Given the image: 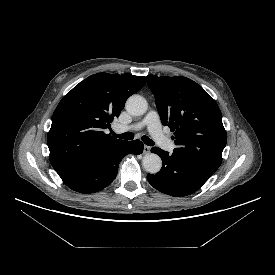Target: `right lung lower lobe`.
<instances>
[{
	"mask_svg": "<svg viewBox=\"0 0 275 275\" xmlns=\"http://www.w3.org/2000/svg\"><path fill=\"white\" fill-rule=\"evenodd\" d=\"M144 145L139 140L126 141L111 152L78 166L58 172L63 182L80 193H94L110 185L116 178L118 166L127 154L139 155Z\"/></svg>",
	"mask_w": 275,
	"mask_h": 275,
	"instance_id": "1",
	"label": "right lung lower lobe"
}]
</instances>
